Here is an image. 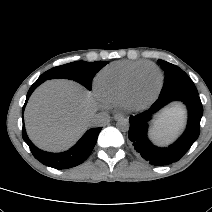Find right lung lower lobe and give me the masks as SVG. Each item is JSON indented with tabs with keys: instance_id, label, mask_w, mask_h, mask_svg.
<instances>
[{
	"instance_id": "right-lung-lower-lobe-1",
	"label": "right lung lower lobe",
	"mask_w": 212,
	"mask_h": 212,
	"mask_svg": "<svg viewBox=\"0 0 212 212\" xmlns=\"http://www.w3.org/2000/svg\"><path fill=\"white\" fill-rule=\"evenodd\" d=\"M45 80L43 78H38L37 81L30 87L25 104L22 109V114L24 112L25 105L32 94V92ZM23 119V116H22ZM101 128H92L88 130L83 137L66 152L63 153H50L38 149L28 138L26 130L23 124L22 137L24 141L28 144L33 156L46 166H50L56 169H67L75 167L85 161L90 153L92 152Z\"/></svg>"
}]
</instances>
